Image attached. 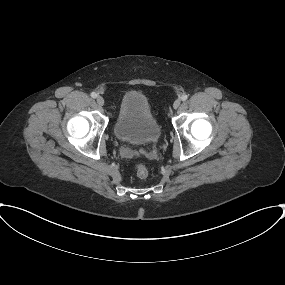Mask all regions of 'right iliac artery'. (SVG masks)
Here are the masks:
<instances>
[{"label":"right iliac artery","instance_id":"right-iliac-artery-1","mask_svg":"<svg viewBox=\"0 0 285 285\" xmlns=\"http://www.w3.org/2000/svg\"><path fill=\"white\" fill-rule=\"evenodd\" d=\"M91 97H92V98H96V97H97V94H96L95 92H92V93H91Z\"/></svg>","mask_w":285,"mask_h":285}]
</instances>
